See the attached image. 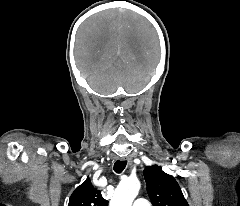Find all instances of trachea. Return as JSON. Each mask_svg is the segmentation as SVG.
I'll use <instances>...</instances> for the list:
<instances>
[{"label": "trachea", "mask_w": 240, "mask_h": 206, "mask_svg": "<svg viewBox=\"0 0 240 206\" xmlns=\"http://www.w3.org/2000/svg\"><path fill=\"white\" fill-rule=\"evenodd\" d=\"M126 165H127V161L118 160L114 164V171L116 173H121L125 169Z\"/></svg>", "instance_id": "obj_1"}]
</instances>
